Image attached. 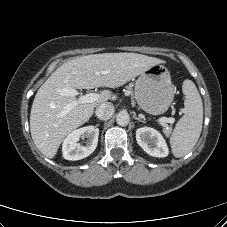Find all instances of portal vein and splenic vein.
Returning a JSON list of instances; mask_svg holds the SVG:
<instances>
[{
  "mask_svg": "<svg viewBox=\"0 0 227 227\" xmlns=\"http://www.w3.org/2000/svg\"><path fill=\"white\" fill-rule=\"evenodd\" d=\"M102 73H106V72H102ZM79 93L72 88H63L60 90V95L62 96H73V95H78ZM100 95L97 93H89L83 96H79L78 100L75 102H72L70 104H68L64 110H63V114H66L69 112V110H71L74 106H76L77 104H82V103H93L95 101H97L99 99ZM157 122H159L160 124H164V123H174L175 119L173 117L170 118H160L157 120Z\"/></svg>",
  "mask_w": 227,
  "mask_h": 227,
  "instance_id": "portal-vein-and-splenic-vein-1",
  "label": "portal vein and splenic vein"
}]
</instances>
